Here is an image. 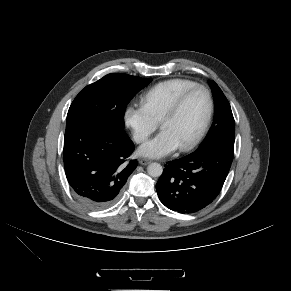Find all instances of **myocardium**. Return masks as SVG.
I'll return each mask as SVG.
<instances>
[{
    "instance_id": "f54148a6",
    "label": "myocardium",
    "mask_w": 291,
    "mask_h": 291,
    "mask_svg": "<svg viewBox=\"0 0 291 291\" xmlns=\"http://www.w3.org/2000/svg\"><path fill=\"white\" fill-rule=\"evenodd\" d=\"M196 90L204 91V93L207 96V100H208V108H207V112H206L205 118L203 120V123H202L201 127L199 128L198 132L186 144L179 146V150H181V151H188V150H191L192 148H194L199 143V141L202 139L204 134L206 133L208 126L211 122L213 112H214V100H213V96H212L211 91L206 86L201 85V84H196V85L184 90L173 101V103L169 106V108L165 111L162 118L160 119V126L162 127L163 123L166 120L172 118L173 116H175L177 114V112L180 110L181 106L183 105V103L187 99V97Z\"/></svg>"
}]
</instances>
